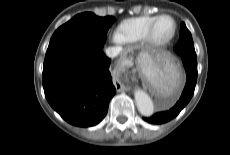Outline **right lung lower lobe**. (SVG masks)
<instances>
[{"instance_id": "obj_1", "label": "right lung lower lobe", "mask_w": 230, "mask_h": 155, "mask_svg": "<svg viewBox=\"0 0 230 155\" xmlns=\"http://www.w3.org/2000/svg\"><path fill=\"white\" fill-rule=\"evenodd\" d=\"M103 43H70L46 52V99L72 125L89 127L101 122L116 93L109 72L111 60L102 51Z\"/></svg>"}]
</instances>
